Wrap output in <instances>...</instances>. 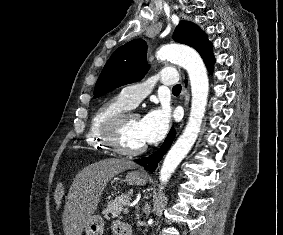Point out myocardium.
Instances as JSON below:
<instances>
[{
  "instance_id": "obj_1",
  "label": "myocardium",
  "mask_w": 283,
  "mask_h": 235,
  "mask_svg": "<svg viewBox=\"0 0 283 235\" xmlns=\"http://www.w3.org/2000/svg\"><path fill=\"white\" fill-rule=\"evenodd\" d=\"M132 116L139 117L138 114L129 109L122 111L108 119L102 129L101 134L104 143L116 154L123 156H137L142 154L147 148L146 144H144L137 149H127L120 143L119 136L123 125Z\"/></svg>"
}]
</instances>
